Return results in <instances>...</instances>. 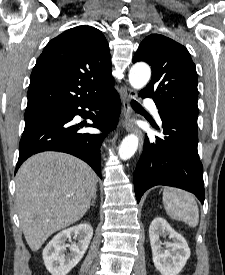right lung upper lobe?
Returning a JSON list of instances; mask_svg holds the SVG:
<instances>
[{"label": "right lung upper lobe", "mask_w": 225, "mask_h": 275, "mask_svg": "<svg viewBox=\"0 0 225 275\" xmlns=\"http://www.w3.org/2000/svg\"><path fill=\"white\" fill-rule=\"evenodd\" d=\"M109 45L91 26L69 29L52 39L33 68L25 113L80 103L113 87Z\"/></svg>", "instance_id": "cb5924a9"}]
</instances>
